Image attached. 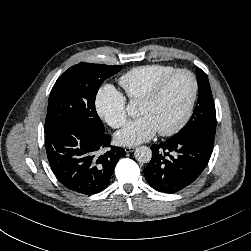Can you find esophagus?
<instances>
[{
  "label": "esophagus",
  "instance_id": "34e87169",
  "mask_svg": "<svg viewBox=\"0 0 251 251\" xmlns=\"http://www.w3.org/2000/svg\"><path fill=\"white\" fill-rule=\"evenodd\" d=\"M135 147L134 146H129V147H125L124 150L126 153L132 152L134 151Z\"/></svg>",
  "mask_w": 251,
  "mask_h": 251
}]
</instances>
